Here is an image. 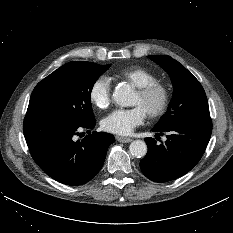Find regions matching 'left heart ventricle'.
Wrapping results in <instances>:
<instances>
[{
  "instance_id": "obj_1",
  "label": "left heart ventricle",
  "mask_w": 233,
  "mask_h": 233,
  "mask_svg": "<svg viewBox=\"0 0 233 233\" xmlns=\"http://www.w3.org/2000/svg\"><path fill=\"white\" fill-rule=\"evenodd\" d=\"M159 103H160L159 94H154L151 97L143 98L137 92H135L131 104L134 106H140L147 114L155 110L158 107Z\"/></svg>"
}]
</instances>
